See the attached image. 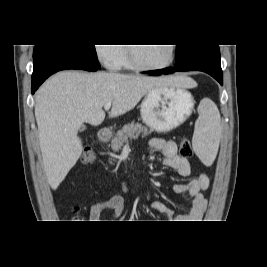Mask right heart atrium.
Wrapping results in <instances>:
<instances>
[{
    "label": "right heart atrium",
    "mask_w": 267,
    "mask_h": 267,
    "mask_svg": "<svg viewBox=\"0 0 267 267\" xmlns=\"http://www.w3.org/2000/svg\"><path fill=\"white\" fill-rule=\"evenodd\" d=\"M122 48L113 44H98L95 46V53L98 60L108 69H116Z\"/></svg>",
    "instance_id": "1"
}]
</instances>
